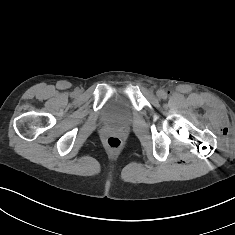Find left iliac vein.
I'll use <instances>...</instances> for the list:
<instances>
[{
	"mask_svg": "<svg viewBox=\"0 0 235 235\" xmlns=\"http://www.w3.org/2000/svg\"><path fill=\"white\" fill-rule=\"evenodd\" d=\"M163 92H164L163 90H158L156 93L157 97L162 98Z\"/></svg>",
	"mask_w": 235,
	"mask_h": 235,
	"instance_id": "4c4485c4",
	"label": "left iliac vein"
}]
</instances>
